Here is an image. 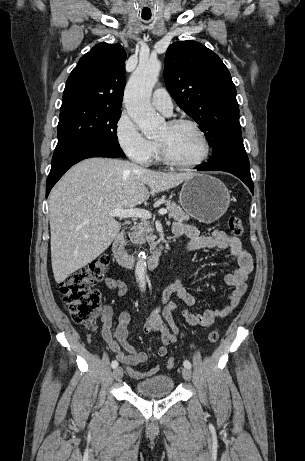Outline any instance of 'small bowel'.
I'll list each match as a JSON object with an SVG mask.
<instances>
[{
  "instance_id": "1",
  "label": "small bowel",
  "mask_w": 305,
  "mask_h": 461,
  "mask_svg": "<svg viewBox=\"0 0 305 461\" xmlns=\"http://www.w3.org/2000/svg\"><path fill=\"white\" fill-rule=\"evenodd\" d=\"M172 232L177 238L181 236L188 238V242L181 250L182 254L201 249H228L236 259L237 268L225 276V284L233 288L228 305L207 309L202 313H192L186 308L182 311L183 317L189 325L210 327L218 318H224L231 314L239 305L247 291L246 281L248 275L253 269L252 257L242 247L239 238L220 229L214 230L210 235H205L194 225L175 222ZM104 284L107 288L116 291L119 296L126 294V285L120 279L107 277ZM172 296H176L187 306H192L196 303L194 295L186 289L179 278L164 289L160 304L150 314L144 325L145 333L159 336L160 344L156 348V354L159 357L166 356L168 345L175 343L180 333V328L174 319V311L179 308V304L170 300ZM101 313L103 322L102 339L115 354L116 359L125 365L127 373L135 379H144L155 375L160 369L159 365H154L145 371H139L135 368L148 360V353L139 351L127 340L128 325L131 320L130 313L123 310L113 318L112 309L109 306L102 307Z\"/></svg>"
}]
</instances>
